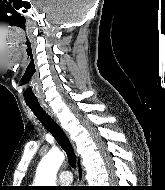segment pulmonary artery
Here are the masks:
<instances>
[{"label":"pulmonary artery","instance_id":"pulmonary-artery-1","mask_svg":"<svg viewBox=\"0 0 165 190\" xmlns=\"http://www.w3.org/2000/svg\"><path fill=\"white\" fill-rule=\"evenodd\" d=\"M73 180L72 173L68 170H63L58 175V181L60 184L67 185Z\"/></svg>","mask_w":165,"mask_h":190}]
</instances>
